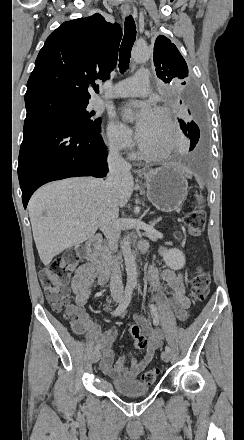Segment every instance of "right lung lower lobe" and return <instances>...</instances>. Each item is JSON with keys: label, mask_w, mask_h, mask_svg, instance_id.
Masks as SVG:
<instances>
[{"label": "right lung lower lobe", "mask_w": 244, "mask_h": 440, "mask_svg": "<svg viewBox=\"0 0 244 440\" xmlns=\"http://www.w3.org/2000/svg\"><path fill=\"white\" fill-rule=\"evenodd\" d=\"M100 125L85 129L59 118L27 115L18 159L24 208L43 184L69 177H104L107 147Z\"/></svg>", "instance_id": "98d812e1"}]
</instances>
